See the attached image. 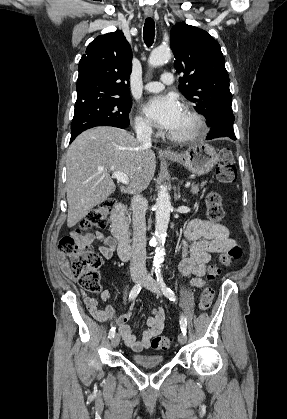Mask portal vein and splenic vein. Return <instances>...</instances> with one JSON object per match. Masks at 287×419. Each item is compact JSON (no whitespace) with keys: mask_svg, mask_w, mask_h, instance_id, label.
<instances>
[{"mask_svg":"<svg viewBox=\"0 0 287 419\" xmlns=\"http://www.w3.org/2000/svg\"><path fill=\"white\" fill-rule=\"evenodd\" d=\"M112 176H113V178H115L116 180H118L119 182H121L125 185H127L129 183V177L125 173L112 172ZM190 184H191L190 182H187L185 184V187L188 188L190 186Z\"/></svg>","mask_w":287,"mask_h":419,"instance_id":"obj_1","label":"portal vein and splenic vein"}]
</instances>
